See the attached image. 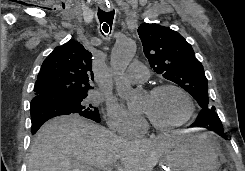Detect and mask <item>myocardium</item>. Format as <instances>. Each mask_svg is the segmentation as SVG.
I'll return each mask as SVG.
<instances>
[{
    "label": "myocardium",
    "mask_w": 245,
    "mask_h": 171,
    "mask_svg": "<svg viewBox=\"0 0 245 171\" xmlns=\"http://www.w3.org/2000/svg\"><path fill=\"white\" fill-rule=\"evenodd\" d=\"M168 89L176 90L180 94H182V96L186 99V101L188 103V111L182 120H180L179 122L173 123V124H168V125L158 124L157 122H155L154 120H152L150 117L147 116V120H148L149 124L154 129H156L158 131H171V130L177 129L179 127H182L193 117V115L195 113V103H194L192 96L183 87H181L177 84L164 83V84L154 86L153 88H151L148 91V94L149 95H155L157 93H160V92H162L164 90H168Z\"/></svg>",
    "instance_id": "f54148a6"
}]
</instances>
